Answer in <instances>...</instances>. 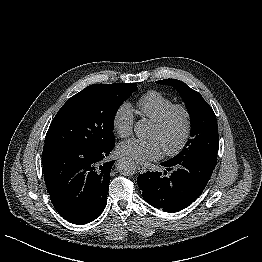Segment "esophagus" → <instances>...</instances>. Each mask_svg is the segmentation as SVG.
Instances as JSON below:
<instances>
[{
	"label": "esophagus",
	"mask_w": 262,
	"mask_h": 262,
	"mask_svg": "<svg viewBox=\"0 0 262 262\" xmlns=\"http://www.w3.org/2000/svg\"><path fill=\"white\" fill-rule=\"evenodd\" d=\"M137 169L140 173H145L146 172V167L143 165L141 162H137Z\"/></svg>",
	"instance_id": "1"
}]
</instances>
